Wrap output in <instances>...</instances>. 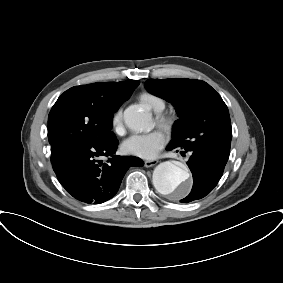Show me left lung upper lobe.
<instances>
[{"mask_svg": "<svg viewBox=\"0 0 283 283\" xmlns=\"http://www.w3.org/2000/svg\"><path fill=\"white\" fill-rule=\"evenodd\" d=\"M148 92L171 102L179 119L173 127L172 144L200 148L212 155L230 154L232 129L229 111L221 96L201 80L149 79Z\"/></svg>", "mask_w": 283, "mask_h": 283, "instance_id": "obj_1", "label": "left lung upper lobe"}]
</instances>
